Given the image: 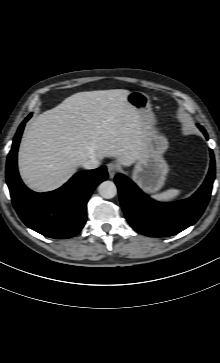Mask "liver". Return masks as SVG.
Listing matches in <instances>:
<instances>
[{"instance_id": "6515ba94", "label": "liver", "mask_w": 220, "mask_h": 363, "mask_svg": "<svg viewBox=\"0 0 220 363\" xmlns=\"http://www.w3.org/2000/svg\"><path fill=\"white\" fill-rule=\"evenodd\" d=\"M124 89L79 92L45 111L27 127L19 172L38 192L62 186L89 159L114 157L131 166L143 153L144 117Z\"/></svg>"}]
</instances>
